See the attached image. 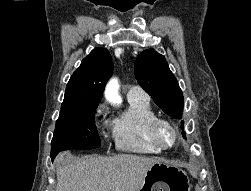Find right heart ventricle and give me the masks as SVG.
Returning a JSON list of instances; mask_svg holds the SVG:
<instances>
[{
  "label": "right heart ventricle",
  "instance_id": "obj_1",
  "mask_svg": "<svg viewBox=\"0 0 251 191\" xmlns=\"http://www.w3.org/2000/svg\"><path fill=\"white\" fill-rule=\"evenodd\" d=\"M127 111L113 123L112 135L115 148L120 152L140 156H155L158 151L149 141L147 128L156 115L145 96L128 99Z\"/></svg>",
  "mask_w": 251,
  "mask_h": 191
}]
</instances>
